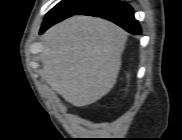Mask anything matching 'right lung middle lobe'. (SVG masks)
<instances>
[{
  "label": "right lung middle lobe",
  "instance_id": "dd1d6c3e",
  "mask_svg": "<svg viewBox=\"0 0 182 140\" xmlns=\"http://www.w3.org/2000/svg\"><path fill=\"white\" fill-rule=\"evenodd\" d=\"M95 0H62L46 15L42 28L54 25L86 7Z\"/></svg>",
  "mask_w": 182,
  "mask_h": 140
}]
</instances>
